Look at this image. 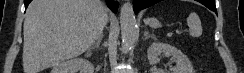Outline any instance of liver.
I'll list each match as a JSON object with an SVG mask.
<instances>
[{"mask_svg":"<svg viewBox=\"0 0 244 73\" xmlns=\"http://www.w3.org/2000/svg\"><path fill=\"white\" fill-rule=\"evenodd\" d=\"M106 22L99 0H33L23 25L24 73H39L81 55L101 36Z\"/></svg>","mask_w":244,"mask_h":73,"instance_id":"6515ba94","label":"liver"}]
</instances>
